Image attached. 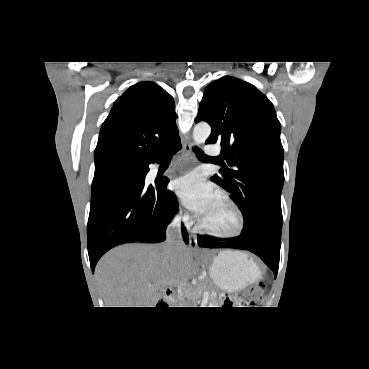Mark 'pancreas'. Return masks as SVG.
I'll return each mask as SVG.
<instances>
[{"instance_id":"pancreas-1","label":"pancreas","mask_w":369,"mask_h":369,"mask_svg":"<svg viewBox=\"0 0 369 369\" xmlns=\"http://www.w3.org/2000/svg\"><path fill=\"white\" fill-rule=\"evenodd\" d=\"M201 294H202V288L198 287L197 292L191 293L188 296L190 298H193L194 300H198L201 297Z\"/></svg>"}]
</instances>
